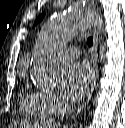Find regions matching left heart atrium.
I'll use <instances>...</instances> for the list:
<instances>
[{
	"label": "left heart atrium",
	"instance_id": "left-heart-atrium-1",
	"mask_svg": "<svg viewBox=\"0 0 125 128\" xmlns=\"http://www.w3.org/2000/svg\"><path fill=\"white\" fill-rule=\"evenodd\" d=\"M93 80L94 74L87 64H69L61 71L60 92L65 99L78 101L89 93Z\"/></svg>",
	"mask_w": 125,
	"mask_h": 128
}]
</instances>
